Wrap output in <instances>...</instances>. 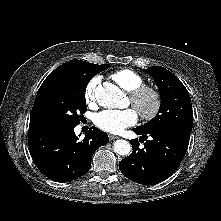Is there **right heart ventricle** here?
<instances>
[{"mask_svg": "<svg viewBox=\"0 0 221 221\" xmlns=\"http://www.w3.org/2000/svg\"><path fill=\"white\" fill-rule=\"evenodd\" d=\"M110 78L127 92H131L145 83L144 77L131 69L117 70L110 75Z\"/></svg>", "mask_w": 221, "mask_h": 221, "instance_id": "obj_1", "label": "right heart ventricle"}]
</instances>
